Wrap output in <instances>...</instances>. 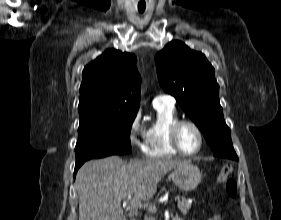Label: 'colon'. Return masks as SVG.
Here are the masks:
<instances>
[{
	"mask_svg": "<svg viewBox=\"0 0 281 220\" xmlns=\"http://www.w3.org/2000/svg\"><path fill=\"white\" fill-rule=\"evenodd\" d=\"M232 166L226 164L222 167L218 175V181L225 184L226 193L229 197L234 198L237 194V183L234 179L230 178Z\"/></svg>",
	"mask_w": 281,
	"mask_h": 220,
	"instance_id": "5ec220e1",
	"label": "colon"
}]
</instances>
